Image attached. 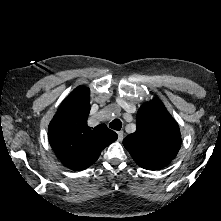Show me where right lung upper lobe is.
Segmentation results:
<instances>
[{
	"instance_id": "cb5924a9",
	"label": "right lung upper lobe",
	"mask_w": 221,
	"mask_h": 221,
	"mask_svg": "<svg viewBox=\"0 0 221 221\" xmlns=\"http://www.w3.org/2000/svg\"><path fill=\"white\" fill-rule=\"evenodd\" d=\"M89 112V88L80 86L65 98L49 125L51 147L63 165L74 170L92 165L118 137L105 124L91 129L87 125Z\"/></svg>"
}]
</instances>
